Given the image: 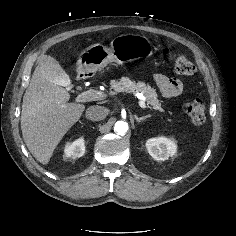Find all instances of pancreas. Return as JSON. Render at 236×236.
<instances>
[{"instance_id":"1","label":"pancreas","mask_w":236,"mask_h":236,"mask_svg":"<svg viewBox=\"0 0 236 236\" xmlns=\"http://www.w3.org/2000/svg\"><path fill=\"white\" fill-rule=\"evenodd\" d=\"M111 88L114 93L127 92V93H142L146 98V102L151 109L163 112V108L157 99L156 91L150 86H146L144 82L131 81L128 77H122L119 81L112 80Z\"/></svg>"}]
</instances>
